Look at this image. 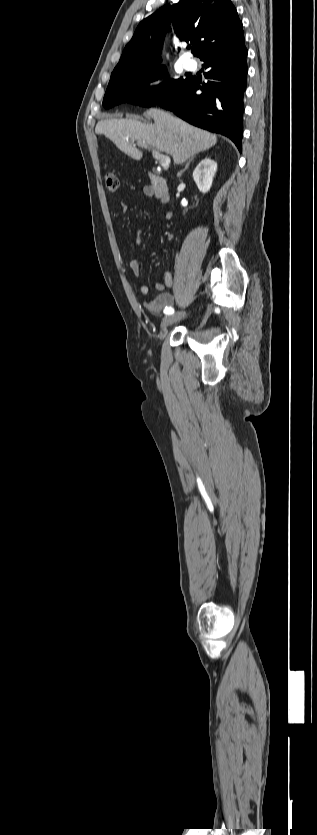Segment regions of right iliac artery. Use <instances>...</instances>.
Instances as JSON below:
<instances>
[{
	"label": "right iliac artery",
	"instance_id": "1",
	"mask_svg": "<svg viewBox=\"0 0 317 835\" xmlns=\"http://www.w3.org/2000/svg\"><path fill=\"white\" fill-rule=\"evenodd\" d=\"M164 313H165V314H168V315H171V314H173V313H174V309H173L172 307L166 308V309L164 310Z\"/></svg>",
	"mask_w": 317,
	"mask_h": 835
}]
</instances>
